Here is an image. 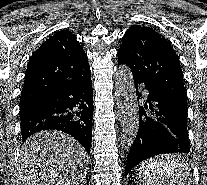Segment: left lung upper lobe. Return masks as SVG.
<instances>
[{"label": "left lung upper lobe", "mask_w": 207, "mask_h": 185, "mask_svg": "<svg viewBox=\"0 0 207 185\" xmlns=\"http://www.w3.org/2000/svg\"><path fill=\"white\" fill-rule=\"evenodd\" d=\"M118 65L126 64L133 78L151 84L187 108V93L180 61L170 43L150 27L133 25L123 36Z\"/></svg>", "instance_id": "left-lung-upper-lobe-1"}]
</instances>
